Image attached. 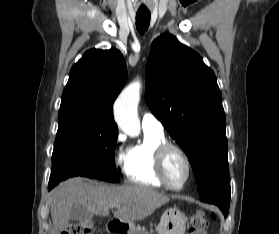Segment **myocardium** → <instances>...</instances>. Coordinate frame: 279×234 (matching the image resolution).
Here are the masks:
<instances>
[{
  "mask_svg": "<svg viewBox=\"0 0 279 234\" xmlns=\"http://www.w3.org/2000/svg\"><path fill=\"white\" fill-rule=\"evenodd\" d=\"M171 151H175V152L179 153L182 156V158L184 159L185 164H186L187 174H186L184 181L180 185L172 184L168 180L167 175H166L165 163H166L167 156ZM155 169H156L158 178L160 179L162 184L165 187H167L171 190H175V191L183 189L187 185V183L189 182V180L191 179V176H192V162H191V159H190L188 153L181 146L171 143V142H166V141L164 143L160 144L156 149Z\"/></svg>",
  "mask_w": 279,
  "mask_h": 234,
  "instance_id": "1",
  "label": "myocardium"
}]
</instances>
